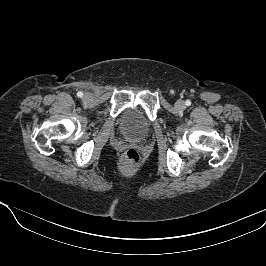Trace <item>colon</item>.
Instances as JSON below:
<instances>
[{"label": "colon", "mask_w": 266, "mask_h": 266, "mask_svg": "<svg viewBox=\"0 0 266 266\" xmlns=\"http://www.w3.org/2000/svg\"><path fill=\"white\" fill-rule=\"evenodd\" d=\"M123 161L129 166L137 165L140 161V155L135 149H129L123 154Z\"/></svg>", "instance_id": "1"}]
</instances>
